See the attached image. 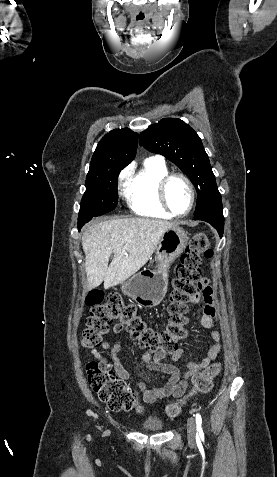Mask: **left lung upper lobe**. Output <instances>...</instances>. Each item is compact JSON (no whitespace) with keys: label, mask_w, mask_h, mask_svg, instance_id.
Returning <instances> with one entry per match:
<instances>
[{"label":"left lung upper lobe","mask_w":277,"mask_h":477,"mask_svg":"<svg viewBox=\"0 0 277 477\" xmlns=\"http://www.w3.org/2000/svg\"><path fill=\"white\" fill-rule=\"evenodd\" d=\"M140 142L147 150L172 161L190 178L197 191L194 216L222 204L208 155L188 124L176 118L162 119L140 133Z\"/></svg>","instance_id":"5c2ea615"}]
</instances>
